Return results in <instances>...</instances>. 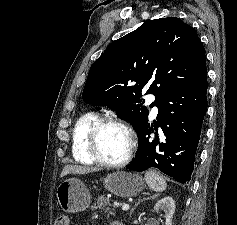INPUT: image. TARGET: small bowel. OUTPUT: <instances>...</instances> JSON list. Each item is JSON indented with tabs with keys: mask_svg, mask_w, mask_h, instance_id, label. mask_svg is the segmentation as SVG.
<instances>
[{
	"mask_svg": "<svg viewBox=\"0 0 237 225\" xmlns=\"http://www.w3.org/2000/svg\"><path fill=\"white\" fill-rule=\"evenodd\" d=\"M112 225H122L121 223H118V222H116V223H113Z\"/></svg>",
	"mask_w": 237,
	"mask_h": 225,
	"instance_id": "small-bowel-1",
	"label": "small bowel"
}]
</instances>
